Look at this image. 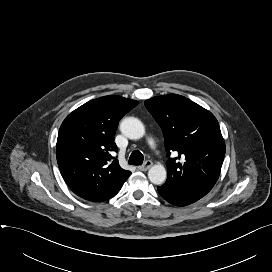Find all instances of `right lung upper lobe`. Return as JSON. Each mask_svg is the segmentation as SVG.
<instances>
[{"label": "right lung upper lobe", "mask_w": 272, "mask_h": 272, "mask_svg": "<svg viewBox=\"0 0 272 272\" xmlns=\"http://www.w3.org/2000/svg\"><path fill=\"white\" fill-rule=\"evenodd\" d=\"M138 104L121 96L91 100L69 114L57 139L56 157L63 179L79 197L102 202L116 195L131 172L122 169L114 135L119 120Z\"/></svg>", "instance_id": "obj_1"}]
</instances>
